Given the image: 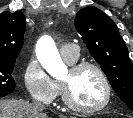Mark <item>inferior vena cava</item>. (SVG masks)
<instances>
[{
  "instance_id": "obj_1",
  "label": "inferior vena cava",
  "mask_w": 133,
  "mask_h": 118,
  "mask_svg": "<svg viewBox=\"0 0 133 118\" xmlns=\"http://www.w3.org/2000/svg\"><path fill=\"white\" fill-rule=\"evenodd\" d=\"M33 106L38 109V111L40 112V115H42V110H43V105L41 103H34Z\"/></svg>"
}]
</instances>
